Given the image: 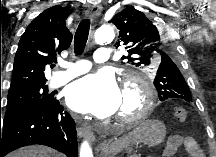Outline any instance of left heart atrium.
<instances>
[{"label":"left heart atrium","mask_w":216,"mask_h":157,"mask_svg":"<svg viewBox=\"0 0 216 157\" xmlns=\"http://www.w3.org/2000/svg\"><path fill=\"white\" fill-rule=\"evenodd\" d=\"M122 92L108 71L87 75L73 82L66 92V104L73 111L105 118L117 112Z\"/></svg>","instance_id":"left-heart-atrium-1"}]
</instances>
